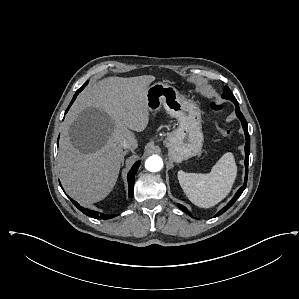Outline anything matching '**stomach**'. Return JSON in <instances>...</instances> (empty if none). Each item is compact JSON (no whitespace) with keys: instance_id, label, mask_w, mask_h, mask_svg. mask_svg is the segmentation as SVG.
Segmentation results:
<instances>
[{"instance_id":"obj_1","label":"stomach","mask_w":299,"mask_h":299,"mask_svg":"<svg viewBox=\"0 0 299 299\" xmlns=\"http://www.w3.org/2000/svg\"><path fill=\"white\" fill-rule=\"evenodd\" d=\"M146 98L149 111L157 112L163 106L179 123L164 141L170 160L180 163L199 154L204 140L199 107L176 88L162 82L148 87Z\"/></svg>"}]
</instances>
